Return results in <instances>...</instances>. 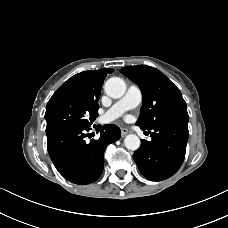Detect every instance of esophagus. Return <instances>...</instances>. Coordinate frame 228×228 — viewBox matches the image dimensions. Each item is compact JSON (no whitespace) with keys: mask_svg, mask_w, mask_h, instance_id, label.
<instances>
[{"mask_svg":"<svg viewBox=\"0 0 228 228\" xmlns=\"http://www.w3.org/2000/svg\"><path fill=\"white\" fill-rule=\"evenodd\" d=\"M129 133V130L127 128H122L121 129V136L124 137Z\"/></svg>","mask_w":228,"mask_h":228,"instance_id":"obj_1","label":"esophagus"}]
</instances>
